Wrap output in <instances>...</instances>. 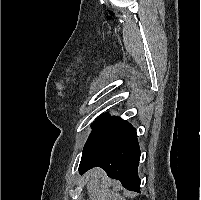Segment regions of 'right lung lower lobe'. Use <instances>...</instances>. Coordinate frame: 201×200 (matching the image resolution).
<instances>
[{
	"label": "right lung lower lobe",
	"instance_id": "obj_1",
	"mask_svg": "<svg viewBox=\"0 0 201 200\" xmlns=\"http://www.w3.org/2000/svg\"><path fill=\"white\" fill-rule=\"evenodd\" d=\"M140 149L135 128L120 117H108L95 125L79 165L83 174L93 167L103 168L130 191L140 192L138 165Z\"/></svg>",
	"mask_w": 201,
	"mask_h": 200
}]
</instances>
